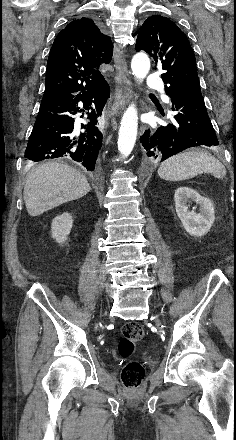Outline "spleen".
Listing matches in <instances>:
<instances>
[{
    "instance_id": "1",
    "label": "spleen",
    "mask_w": 236,
    "mask_h": 440,
    "mask_svg": "<svg viewBox=\"0 0 236 440\" xmlns=\"http://www.w3.org/2000/svg\"><path fill=\"white\" fill-rule=\"evenodd\" d=\"M201 172L211 173L216 178L226 175V169L218 159L208 152L194 149L170 157L158 168L159 177L168 181L187 180Z\"/></svg>"
}]
</instances>
